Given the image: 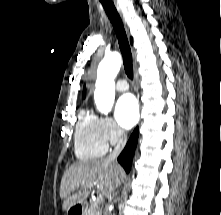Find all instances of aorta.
I'll return each instance as SVG.
<instances>
[{
    "mask_svg": "<svg viewBox=\"0 0 221 215\" xmlns=\"http://www.w3.org/2000/svg\"><path fill=\"white\" fill-rule=\"evenodd\" d=\"M122 63L121 55L118 52H111L105 55L97 69V80L95 84L94 100L97 109L107 114L115 99V77L117 76Z\"/></svg>",
    "mask_w": 221,
    "mask_h": 215,
    "instance_id": "1",
    "label": "aorta"
}]
</instances>
